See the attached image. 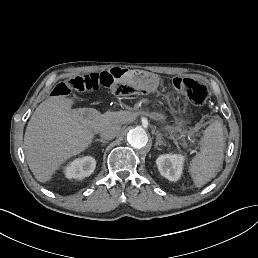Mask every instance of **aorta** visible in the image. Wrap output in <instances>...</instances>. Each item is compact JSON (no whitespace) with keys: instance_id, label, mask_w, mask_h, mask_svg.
Listing matches in <instances>:
<instances>
[{"instance_id":"aorta-1","label":"aorta","mask_w":258,"mask_h":258,"mask_svg":"<svg viewBox=\"0 0 258 258\" xmlns=\"http://www.w3.org/2000/svg\"><path fill=\"white\" fill-rule=\"evenodd\" d=\"M127 141L134 148L140 149L148 143V135L142 127H135L128 132Z\"/></svg>"}]
</instances>
